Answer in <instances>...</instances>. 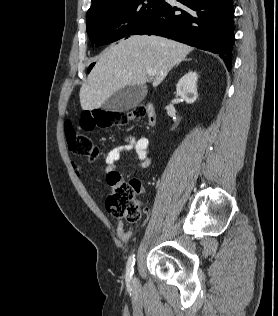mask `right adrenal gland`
Masks as SVG:
<instances>
[{
	"label": "right adrenal gland",
	"mask_w": 278,
	"mask_h": 316,
	"mask_svg": "<svg viewBox=\"0 0 278 316\" xmlns=\"http://www.w3.org/2000/svg\"><path fill=\"white\" fill-rule=\"evenodd\" d=\"M191 59L189 58V59H185L184 61H190ZM178 66V64L176 65V67Z\"/></svg>",
	"instance_id": "1"
}]
</instances>
